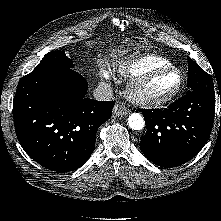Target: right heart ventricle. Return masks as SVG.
<instances>
[{
  "label": "right heart ventricle",
  "mask_w": 221,
  "mask_h": 221,
  "mask_svg": "<svg viewBox=\"0 0 221 221\" xmlns=\"http://www.w3.org/2000/svg\"><path fill=\"white\" fill-rule=\"evenodd\" d=\"M172 63L159 55H140L118 64V72L127 77H137L154 69L170 67Z\"/></svg>",
  "instance_id": "1"
}]
</instances>
